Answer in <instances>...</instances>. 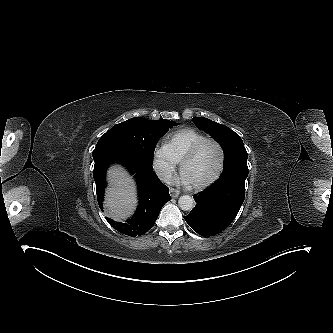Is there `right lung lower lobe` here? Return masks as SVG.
<instances>
[{
    "label": "right lung lower lobe",
    "instance_id": "1",
    "mask_svg": "<svg viewBox=\"0 0 333 333\" xmlns=\"http://www.w3.org/2000/svg\"><path fill=\"white\" fill-rule=\"evenodd\" d=\"M95 162L93 177L99 206L102 209L105 173L107 167L115 162L124 165L135 175L139 193V205L135 215L125 223L115 222L106 217L110 225L122 234L135 237L150 230L163 205L170 200L169 189L152 170V165L146 163L140 155L125 141L104 134L93 151Z\"/></svg>",
    "mask_w": 333,
    "mask_h": 333
}]
</instances>
